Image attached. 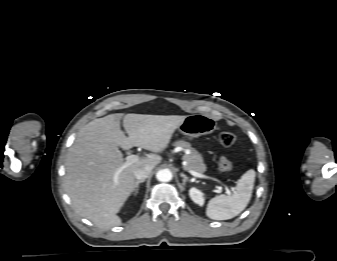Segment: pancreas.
I'll return each mask as SVG.
<instances>
[{"label": "pancreas", "instance_id": "cf45deb5", "mask_svg": "<svg viewBox=\"0 0 337 261\" xmlns=\"http://www.w3.org/2000/svg\"><path fill=\"white\" fill-rule=\"evenodd\" d=\"M174 145L189 151V153H186L183 156V159L186 162V165L184 166L185 170H193L198 173H204L206 171V165L203 162L202 156L191 147L190 143L185 141H177L174 143Z\"/></svg>", "mask_w": 337, "mask_h": 261}]
</instances>
